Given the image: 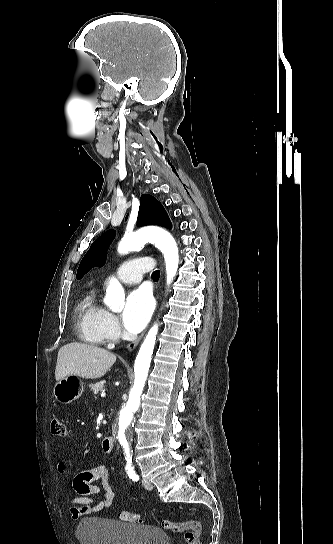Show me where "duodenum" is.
Returning <instances> with one entry per match:
<instances>
[{
  "label": "duodenum",
  "instance_id": "duodenum-1",
  "mask_svg": "<svg viewBox=\"0 0 333 544\" xmlns=\"http://www.w3.org/2000/svg\"><path fill=\"white\" fill-rule=\"evenodd\" d=\"M115 439L112 435H107L102 440V448L105 452H111L113 450Z\"/></svg>",
  "mask_w": 333,
  "mask_h": 544
}]
</instances>
